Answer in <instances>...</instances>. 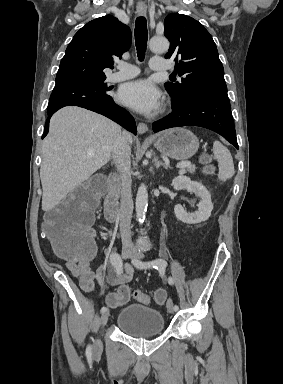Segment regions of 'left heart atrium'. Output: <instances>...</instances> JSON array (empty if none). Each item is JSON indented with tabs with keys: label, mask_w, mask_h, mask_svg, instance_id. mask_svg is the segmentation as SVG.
Here are the masks:
<instances>
[{
	"label": "left heart atrium",
	"mask_w": 283,
	"mask_h": 384,
	"mask_svg": "<svg viewBox=\"0 0 283 384\" xmlns=\"http://www.w3.org/2000/svg\"><path fill=\"white\" fill-rule=\"evenodd\" d=\"M117 99L139 113L151 114L159 108L160 92L150 81L142 79L125 84L119 90Z\"/></svg>",
	"instance_id": "left-heart-atrium-1"
}]
</instances>
